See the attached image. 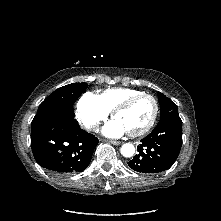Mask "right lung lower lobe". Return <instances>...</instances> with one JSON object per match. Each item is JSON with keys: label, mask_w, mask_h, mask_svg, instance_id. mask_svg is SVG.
Segmentation results:
<instances>
[{"label": "right lung lower lobe", "mask_w": 221, "mask_h": 221, "mask_svg": "<svg viewBox=\"0 0 221 221\" xmlns=\"http://www.w3.org/2000/svg\"><path fill=\"white\" fill-rule=\"evenodd\" d=\"M97 144L94 135L80 128L70 108L54 111L32 125L35 160L58 174L85 170Z\"/></svg>", "instance_id": "98d812e1"}]
</instances>
